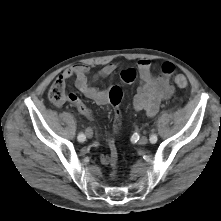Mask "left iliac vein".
Segmentation results:
<instances>
[{
	"label": "left iliac vein",
	"mask_w": 221,
	"mask_h": 221,
	"mask_svg": "<svg viewBox=\"0 0 221 221\" xmlns=\"http://www.w3.org/2000/svg\"><path fill=\"white\" fill-rule=\"evenodd\" d=\"M138 142L140 145H145L148 143V138L146 136H142Z\"/></svg>",
	"instance_id": "obj_1"
}]
</instances>
